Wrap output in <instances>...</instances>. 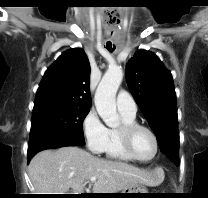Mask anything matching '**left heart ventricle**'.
<instances>
[{"mask_svg": "<svg viewBox=\"0 0 208 198\" xmlns=\"http://www.w3.org/2000/svg\"><path fill=\"white\" fill-rule=\"evenodd\" d=\"M132 147L135 153L142 159L152 157L155 151V143L152 136L143 129H139L134 133Z\"/></svg>", "mask_w": 208, "mask_h": 198, "instance_id": "left-heart-ventricle-1", "label": "left heart ventricle"}]
</instances>
